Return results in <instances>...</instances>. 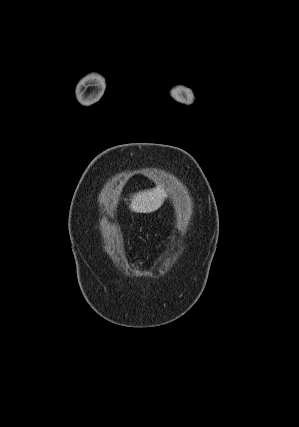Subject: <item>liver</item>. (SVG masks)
I'll return each mask as SVG.
<instances>
[{
    "label": "liver",
    "instance_id": "liver-1",
    "mask_svg": "<svg viewBox=\"0 0 299 427\" xmlns=\"http://www.w3.org/2000/svg\"><path fill=\"white\" fill-rule=\"evenodd\" d=\"M167 194L162 186L136 193L131 199L130 209L136 213H151L158 210Z\"/></svg>",
    "mask_w": 299,
    "mask_h": 427
}]
</instances>
